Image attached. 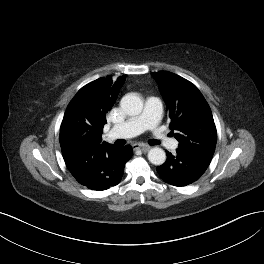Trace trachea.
<instances>
[{
    "label": "trachea",
    "mask_w": 264,
    "mask_h": 264,
    "mask_svg": "<svg viewBox=\"0 0 264 264\" xmlns=\"http://www.w3.org/2000/svg\"><path fill=\"white\" fill-rule=\"evenodd\" d=\"M150 144L151 145H159L160 144V141L153 139V140L150 141Z\"/></svg>",
    "instance_id": "obj_1"
}]
</instances>
